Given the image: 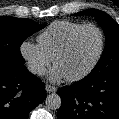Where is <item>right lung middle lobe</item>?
I'll return each instance as SVG.
<instances>
[{
    "label": "right lung middle lobe",
    "instance_id": "obj_1",
    "mask_svg": "<svg viewBox=\"0 0 119 119\" xmlns=\"http://www.w3.org/2000/svg\"><path fill=\"white\" fill-rule=\"evenodd\" d=\"M44 27L30 19L0 17V65L24 64L20 53L22 42Z\"/></svg>",
    "mask_w": 119,
    "mask_h": 119
}]
</instances>
